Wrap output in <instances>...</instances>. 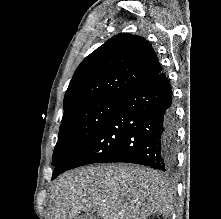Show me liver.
Returning a JSON list of instances; mask_svg holds the SVG:
<instances>
[{"instance_id": "6515ba94", "label": "liver", "mask_w": 221, "mask_h": 219, "mask_svg": "<svg viewBox=\"0 0 221 219\" xmlns=\"http://www.w3.org/2000/svg\"><path fill=\"white\" fill-rule=\"evenodd\" d=\"M92 209L102 219L168 217L173 196L157 171L127 164L80 168L55 181L50 200L53 219H77Z\"/></svg>"}]
</instances>
